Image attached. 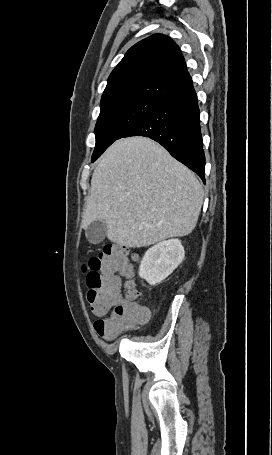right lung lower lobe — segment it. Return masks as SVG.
Here are the masks:
<instances>
[{"instance_id": "1", "label": "right lung lower lobe", "mask_w": 272, "mask_h": 455, "mask_svg": "<svg viewBox=\"0 0 272 455\" xmlns=\"http://www.w3.org/2000/svg\"><path fill=\"white\" fill-rule=\"evenodd\" d=\"M199 120L197 95L192 86L164 101L119 138L139 135L150 137L165 147L174 158L196 172L205 183V154Z\"/></svg>"}]
</instances>
